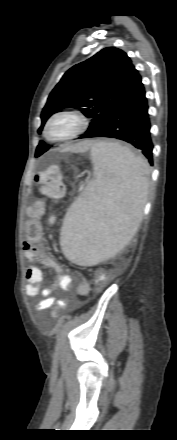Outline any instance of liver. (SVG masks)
<instances>
[{
  "instance_id": "obj_1",
  "label": "liver",
  "mask_w": 177,
  "mask_h": 440,
  "mask_svg": "<svg viewBox=\"0 0 177 440\" xmlns=\"http://www.w3.org/2000/svg\"><path fill=\"white\" fill-rule=\"evenodd\" d=\"M92 145H93V143L91 141H83V142H80V143H77L75 145L68 147L66 149V151L82 152V151L88 150Z\"/></svg>"
}]
</instances>
